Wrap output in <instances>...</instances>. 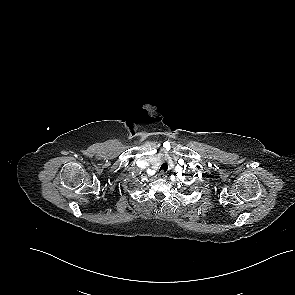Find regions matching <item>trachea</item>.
Listing matches in <instances>:
<instances>
[{"label":"trachea","mask_w":295,"mask_h":295,"mask_svg":"<svg viewBox=\"0 0 295 295\" xmlns=\"http://www.w3.org/2000/svg\"><path fill=\"white\" fill-rule=\"evenodd\" d=\"M167 169H168V165H167V163L165 162V163H163L162 165H161V167H160V169H159V172L160 171H167Z\"/></svg>","instance_id":"trachea-1"}]
</instances>
